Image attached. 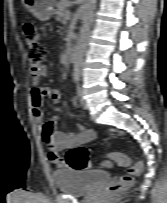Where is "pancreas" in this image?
Returning <instances> with one entry per match:
<instances>
[{"label":"pancreas","instance_id":"obj_1","mask_svg":"<svg viewBox=\"0 0 167 203\" xmlns=\"http://www.w3.org/2000/svg\"><path fill=\"white\" fill-rule=\"evenodd\" d=\"M70 6V2L69 0H60L59 3H57L56 7V11L55 14L57 15L56 19L59 21H62L63 19H65L66 16V12L68 11V8Z\"/></svg>","mask_w":167,"mask_h":203}]
</instances>
